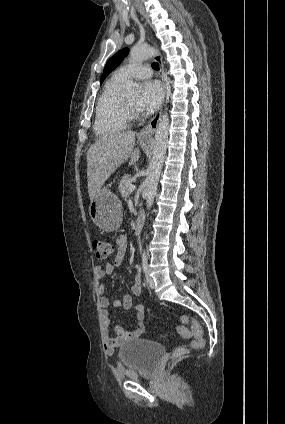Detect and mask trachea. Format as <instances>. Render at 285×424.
I'll return each instance as SVG.
<instances>
[{
    "label": "trachea",
    "mask_w": 285,
    "mask_h": 424,
    "mask_svg": "<svg viewBox=\"0 0 285 424\" xmlns=\"http://www.w3.org/2000/svg\"><path fill=\"white\" fill-rule=\"evenodd\" d=\"M152 67L154 70H159V64L157 62H153Z\"/></svg>",
    "instance_id": "trachea-1"
}]
</instances>
